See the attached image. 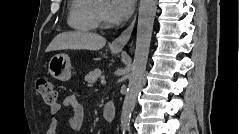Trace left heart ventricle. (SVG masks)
Here are the masks:
<instances>
[{"mask_svg":"<svg viewBox=\"0 0 239 134\" xmlns=\"http://www.w3.org/2000/svg\"><path fill=\"white\" fill-rule=\"evenodd\" d=\"M99 4H100V6H101V8L103 10V13H104L106 19L109 21V19L107 18V15H106V10H107V6H108V2L105 1V0H101V1H99Z\"/></svg>","mask_w":239,"mask_h":134,"instance_id":"left-heart-ventricle-1","label":"left heart ventricle"}]
</instances>
